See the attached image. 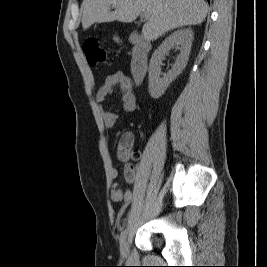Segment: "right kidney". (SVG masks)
<instances>
[{"mask_svg":"<svg viewBox=\"0 0 267 267\" xmlns=\"http://www.w3.org/2000/svg\"><path fill=\"white\" fill-rule=\"evenodd\" d=\"M193 40V32L190 29H180L169 35L152 55L149 64V94L152 98L161 97L170 83L185 69ZM177 46L180 50L172 69L161 77L160 64L162 58Z\"/></svg>","mask_w":267,"mask_h":267,"instance_id":"ca27d5eb","label":"right kidney"}]
</instances>
